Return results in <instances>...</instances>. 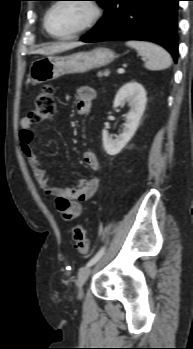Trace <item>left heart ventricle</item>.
<instances>
[{
    "mask_svg": "<svg viewBox=\"0 0 193 349\" xmlns=\"http://www.w3.org/2000/svg\"><path fill=\"white\" fill-rule=\"evenodd\" d=\"M92 17L85 2H65L56 6L49 15V28L57 35H67L84 26Z\"/></svg>",
    "mask_w": 193,
    "mask_h": 349,
    "instance_id": "obj_1",
    "label": "left heart ventricle"
}]
</instances>
